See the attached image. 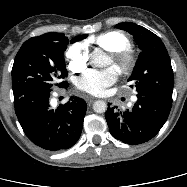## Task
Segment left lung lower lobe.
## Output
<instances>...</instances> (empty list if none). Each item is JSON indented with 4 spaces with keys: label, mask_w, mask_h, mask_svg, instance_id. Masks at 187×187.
<instances>
[{
    "label": "left lung lower lobe",
    "mask_w": 187,
    "mask_h": 187,
    "mask_svg": "<svg viewBox=\"0 0 187 187\" xmlns=\"http://www.w3.org/2000/svg\"><path fill=\"white\" fill-rule=\"evenodd\" d=\"M131 110L118 113L117 107L108 108L106 121L111 135L130 145L141 144L153 138L166 122L172 102L137 96Z\"/></svg>",
    "instance_id": "left-lung-lower-lobe-1"
}]
</instances>
